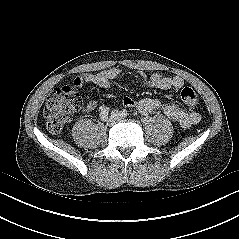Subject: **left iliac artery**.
<instances>
[{
    "label": "left iliac artery",
    "instance_id": "left-iliac-artery-1",
    "mask_svg": "<svg viewBox=\"0 0 239 239\" xmlns=\"http://www.w3.org/2000/svg\"><path fill=\"white\" fill-rule=\"evenodd\" d=\"M122 116H124V117H127V116H128L127 110L124 109V110L122 111Z\"/></svg>",
    "mask_w": 239,
    "mask_h": 239
}]
</instances>
